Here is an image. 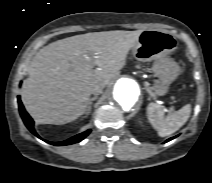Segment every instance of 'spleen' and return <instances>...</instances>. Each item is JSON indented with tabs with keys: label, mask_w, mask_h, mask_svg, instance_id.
Listing matches in <instances>:
<instances>
[{
	"label": "spleen",
	"mask_w": 212,
	"mask_h": 183,
	"mask_svg": "<svg viewBox=\"0 0 212 183\" xmlns=\"http://www.w3.org/2000/svg\"><path fill=\"white\" fill-rule=\"evenodd\" d=\"M164 113L165 109L159 104L150 103L147 107L148 120L161 137L173 134L187 122L191 113V105L187 104L167 116Z\"/></svg>",
	"instance_id": "spleen-1"
}]
</instances>
